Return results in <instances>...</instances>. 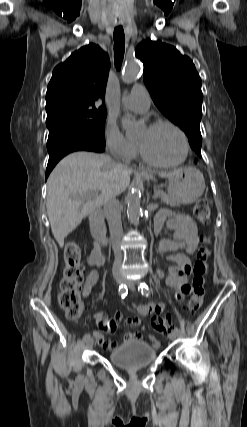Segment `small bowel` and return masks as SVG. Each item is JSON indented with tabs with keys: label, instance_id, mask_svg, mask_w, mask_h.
Returning <instances> with one entry per match:
<instances>
[{
	"label": "small bowel",
	"instance_id": "obj_1",
	"mask_svg": "<svg viewBox=\"0 0 247 427\" xmlns=\"http://www.w3.org/2000/svg\"><path fill=\"white\" fill-rule=\"evenodd\" d=\"M164 228L172 231L173 237L172 239H160L158 250L162 253H170L168 260L175 264L170 266L167 277L164 278V274L160 270L157 271V275L161 279L164 278L165 283L170 288L176 290V299L182 301L190 293V286L188 284L189 276L192 272L190 255L196 251L199 243L197 225L188 215H174L169 211H161L155 219V233L160 235ZM104 262V254L99 246L95 245L87 259V264L93 267V269L86 277L83 288L84 296H88L98 282L100 277L99 268ZM135 309L139 315L147 316L162 313L165 305L163 303L151 302L137 305ZM93 318L101 330L112 333L116 330L117 324L122 320L123 315L121 312H116L114 318L110 319L106 314L99 312ZM126 324L128 326H142L141 320L135 317L129 318ZM142 338L143 335L141 332H126L124 342L141 341ZM151 343L155 348L160 346V342L156 338L152 337ZM103 345L109 350L117 347V343L114 341L103 342Z\"/></svg>",
	"mask_w": 247,
	"mask_h": 427
}]
</instances>
